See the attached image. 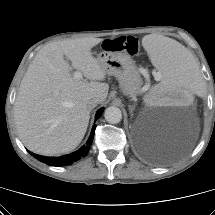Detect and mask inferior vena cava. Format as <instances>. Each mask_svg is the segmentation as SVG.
<instances>
[{
    "mask_svg": "<svg viewBox=\"0 0 215 215\" xmlns=\"http://www.w3.org/2000/svg\"><path fill=\"white\" fill-rule=\"evenodd\" d=\"M100 103V99L99 98H92L87 102V107L89 109H93L94 107L97 106V104Z\"/></svg>",
    "mask_w": 215,
    "mask_h": 215,
    "instance_id": "obj_1",
    "label": "inferior vena cava"
}]
</instances>
